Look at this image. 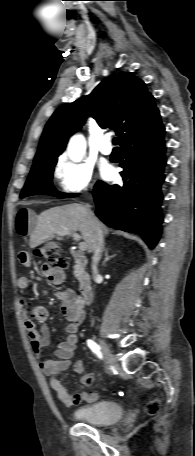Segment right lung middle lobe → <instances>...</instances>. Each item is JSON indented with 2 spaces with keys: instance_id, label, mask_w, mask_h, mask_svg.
<instances>
[{
  "instance_id": "dd1d6c3e",
  "label": "right lung middle lobe",
  "mask_w": 195,
  "mask_h": 456,
  "mask_svg": "<svg viewBox=\"0 0 195 456\" xmlns=\"http://www.w3.org/2000/svg\"><path fill=\"white\" fill-rule=\"evenodd\" d=\"M56 162L57 159H52L34 164L21 192L20 198L35 194H45L59 198H71L77 196L76 194L60 193L53 187L52 176Z\"/></svg>"
}]
</instances>
